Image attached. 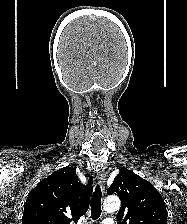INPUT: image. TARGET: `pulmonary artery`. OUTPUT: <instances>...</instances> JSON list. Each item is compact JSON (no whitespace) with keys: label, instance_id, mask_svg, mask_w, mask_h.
<instances>
[{"label":"pulmonary artery","instance_id":"1","mask_svg":"<svg viewBox=\"0 0 187 224\" xmlns=\"http://www.w3.org/2000/svg\"><path fill=\"white\" fill-rule=\"evenodd\" d=\"M102 224H114V221L110 218H106L102 221Z\"/></svg>","mask_w":187,"mask_h":224}]
</instances>
